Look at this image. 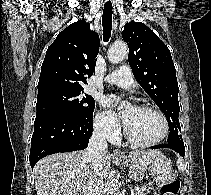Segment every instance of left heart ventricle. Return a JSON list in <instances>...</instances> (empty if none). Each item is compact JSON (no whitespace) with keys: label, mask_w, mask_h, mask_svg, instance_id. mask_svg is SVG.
Listing matches in <instances>:
<instances>
[{"label":"left heart ventricle","mask_w":211,"mask_h":195,"mask_svg":"<svg viewBox=\"0 0 211 195\" xmlns=\"http://www.w3.org/2000/svg\"><path fill=\"white\" fill-rule=\"evenodd\" d=\"M125 124L130 134L139 141L149 142L158 139L163 133L160 116L147 110L129 108L125 111Z\"/></svg>","instance_id":"obj_1"}]
</instances>
